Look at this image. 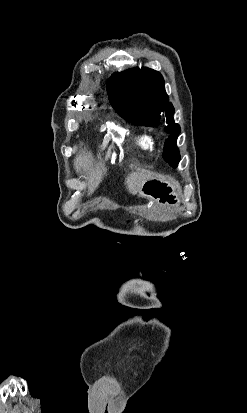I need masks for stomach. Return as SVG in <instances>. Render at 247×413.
Instances as JSON below:
<instances>
[{"label": "stomach", "mask_w": 247, "mask_h": 413, "mask_svg": "<svg viewBox=\"0 0 247 413\" xmlns=\"http://www.w3.org/2000/svg\"><path fill=\"white\" fill-rule=\"evenodd\" d=\"M139 194L163 204V207H179L181 202L180 186L174 178H149L143 182Z\"/></svg>", "instance_id": "1"}]
</instances>
